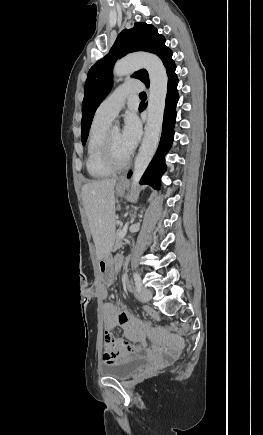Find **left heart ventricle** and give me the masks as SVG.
Returning a JSON list of instances; mask_svg holds the SVG:
<instances>
[{
    "label": "left heart ventricle",
    "instance_id": "obj_1",
    "mask_svg": "<svg viewBox=\"0 0 263 435\" xmlns=\"http://www.w3.org/2000/svg\"><path fill=\"white\" fill-rule=\"evenodd\" d=\"M110 140L115 158L120 162L123 161L129 153L122 144L120 131L112 130L110 132Z\"/></svg>",
    "mask_w": 263,
    "mask_h": 435
}]
</instances>
